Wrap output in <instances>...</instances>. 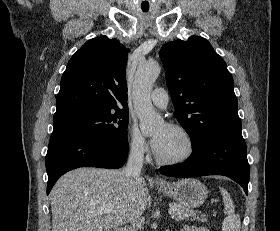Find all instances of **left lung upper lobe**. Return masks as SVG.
<instances>
[{
	"mask_svg": "<svg viewBox=\"0 0 280 231\" xmlns=\"http://www.w3.org/2000/svg\"><path fill=\"white\" fill-rule=\"evenodd\" d=\"M160 58L174 115L192 143L217 131L241 129L232 75L206 39L168 42Z\"/></svg>",
	"mask_w": 280,
	"mask_h": 231,
	"instance_id": "1",
	"label": "left lung upper lobe"
}]
</instances>
